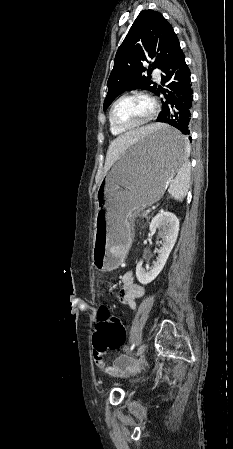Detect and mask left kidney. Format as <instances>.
Instances as JSON below:
<instances>
[{
	"mask_svg": "<svg viewBox=\"0 0 233 449\" xmlns=\"http://www.w3.org/2000/svg\"><path fill=\"white\" fill-rule=\"evenodd\" d=\"M149 229L151 232L159 229L163 237V243L159 250L157 260L150 270H145L142 267L141 262H139L136 266V277L143 285L152 282L164 268L169 254L177 240L179 220L173 213L162 211L152 219Z\"/></svg>",
	"mask_w": 233,
	"mask_h": 449,
	"instance_id": "left-kidney-1",
	"label": "left kidney"
}]
</instances>
